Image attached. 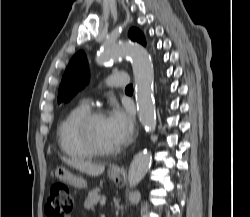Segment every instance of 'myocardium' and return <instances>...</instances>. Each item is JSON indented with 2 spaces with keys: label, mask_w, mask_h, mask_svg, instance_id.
Masks as SVG:
<instances>
[{
  "label": "myocardium",
  "mask_w": 250,
  "mask_h": 217,
  "mask_svg": "<svg viewBox=\"0 0 250 217\" xmlns=\"http://www.w3.org/2000/svg\"><path fill=\"white\" fill-rule=\"evenodd\" d=\"M103 116H105L104 112L100 109L89 111L79 122L78 130L83 143L94 155L108 156L117 153L119 148H105L101 146L93 133L94 122Z\"/></svg>",
  "instance_id": "1"
}]
</instances>
